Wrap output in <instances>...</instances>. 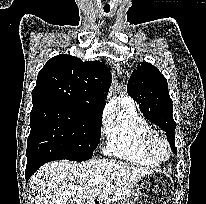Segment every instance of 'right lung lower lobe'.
<instances>
[{
  "label": "right lung lower lobe",
  "instance_id": "obj_1",
  "mask_svg": "<svg viewBox=\"0 0 206 204\" xmlns=\"http://www.w3.org/2000/svg\"><path fill=\"white\" fill-rule=\"evenodd\" d=\"M53 161L51 158H49L48 154L46 153H35L31 156H27V166L25 171V178L26 181L29 180V178L36 172V170L42 166L43 164Z\"/></svg>",
  "mask_w": 206,
  "mask_h": 204
}]
</instances>
